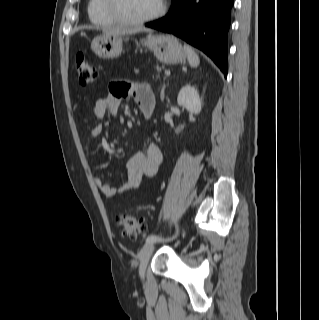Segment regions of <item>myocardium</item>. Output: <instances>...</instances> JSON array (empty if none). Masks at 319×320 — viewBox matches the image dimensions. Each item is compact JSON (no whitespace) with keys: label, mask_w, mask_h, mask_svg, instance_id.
<instances>
[{"label":"myocardium","mask_w":319,"mask_h":320,"mask_svg":"<svg viewBox=\"0 0 319 320\" xmlns=\"http://www.w3.org/2000/svg\"><path fill=\"white\" fill-rule=\"evenodd\" d=\"M105 1V10L106 13L109 15L111 19L116 21L119 24H125V25H138V24H144L151 21H154L160 17H162L167 8L166 0L160 1L159 8L152 13L149 16L142 17V18H129L122 15L117 7H116V0H104Z\"/></svg>","instance_id":"myocardium-1"}]
</instances>
